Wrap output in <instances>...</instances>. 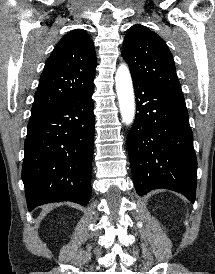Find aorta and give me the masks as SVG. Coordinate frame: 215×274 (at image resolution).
<instances>
[{
  "label": "aorta",
  "mask_w": 215,
  "mask_h": 274,
  "mask_svg": "<svg viewBox=\"0 0 215 274\" xmlns=\"http://www.w3.org/2000/svg\"><path fill=\"white\" fill-rule=\"evenodd\" d=\"M115 82L122 120L129 125L135 115V100L130 72L125 64L118 67Z\"/></svg>",
  "instance_id": "762f6f07"
}]
</instances>
